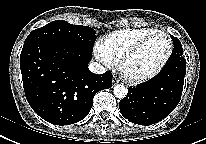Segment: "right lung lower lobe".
Segmentation results:
<instances>
[{"label":"right lung lower lobe","mask_w":206,"mask_h":144,"mask_svg":"<svg viewBox=\"0 0 206 144\" xmlns=\"http://www.w3.org/2000/svg\"><path fill=\"white\" fill-rule=\"evenodd\" d=\"M92 52L70 45L37 41L23 46L20 69L32 109L55 125H69L90 112L95 94L112 87V74L89 71Z\"/></svg>","instance_id":"obj_1"}]
</instances>
